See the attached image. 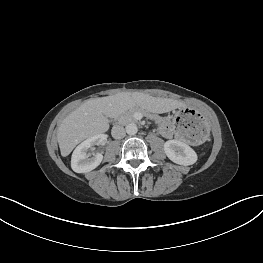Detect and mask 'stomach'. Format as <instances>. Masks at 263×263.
I'll return each mask as SVG.
<instances>
[{
  "instance_id": "1",
  "label": "stomach",
  "mask_w": 263,
  "mask_h": 263,
  "mask_svg": "<svg viewBox=\"0 0 263 263\" xmlns=\"http://www.w3.org/2000/svg\"><path fill=\"white\" fill-rule=\"evenodd\" d=\"M173 126L183 140L192 145L205 143L211 134L209 122L191 108L179 110L174 116Z\"/></svg>"
}]
</instances>
